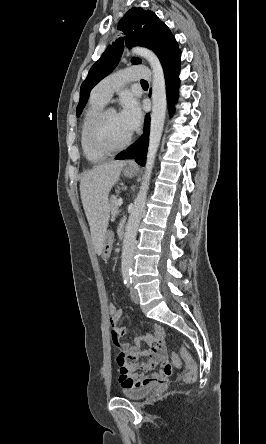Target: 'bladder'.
<instances>
[{
  "instance_id": "bladder-1",
  "label": "bladder",
  "mask_w": 266,
  "mask_h": 444,
  "mask_svg": "<svg viewBox=\"0 0 266 444\" xmlns=\"http://www.w3.org/2000/svg\"><path fill=\"white\" fill-rule=\"evenodd\" d=\"M154 389L153 385L129 388L122 390V395L130 400H142Z\"/></svg>"
}]
</instances>
